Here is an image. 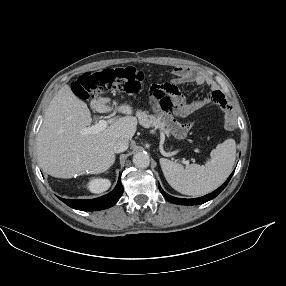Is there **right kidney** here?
Instances as JSON below:
<instances>
[{
    "mask_svg": "<svg viewBox=\"0 0 286 286\" xmlns=\"http://www.w3.org/2000/svg\"><path fill=\"white\" fill-rule=\"evenodd\" d=\"M110 185H111L110 180L97 178V179H92L88 183V189L92 193H102L106 191L110 187Z\"/></svg>",
    "mask_w": 286,
    "mask_h": 286,
    "instance_id": "ca27d5eb",
    "label": "right kidney"
}]
</instances>
